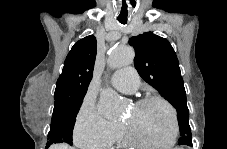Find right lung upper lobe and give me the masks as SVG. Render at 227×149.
Segmentation results:
<instances>
[{"instance_id": "1", "label": "right lung upper lobe", "mask_w": 227, "mask_h": 149, "mask_svg": "<svg viewBox=\"0 0 227 149\" xmlns=\"http://www.w3.org/2000/svg\"><path fill=\"white\" fill-rule=\"evenodd\" d=\"M97 42L93 35L76 42L68 53L55 89V100L84 98L93 77Z\"/></svg>"}]
</instances>
